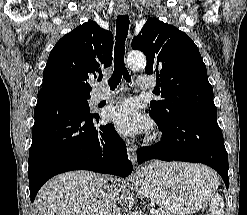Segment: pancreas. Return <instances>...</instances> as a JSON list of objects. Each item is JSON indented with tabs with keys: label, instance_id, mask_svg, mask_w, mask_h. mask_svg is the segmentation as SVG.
<instances>
[{
	"label": "pancreas",
	"instance_id": "cf45deb5",
	"mask_svg": "<svg viewBox=\"0 0 247 215\" xmlns=\"http://www.w3.org/2000/svg\"><path fill=\"white\" fill-rule=\"evenodd\" d=\"M158 213H159L158 215H172L171 213L164 211V210H161Z\"/></svg>",
	"mask_w": 247,
	"mask_h": 215
}]
</instances>
